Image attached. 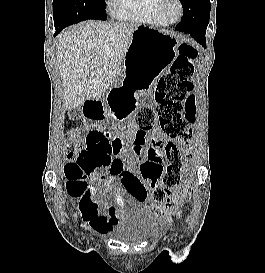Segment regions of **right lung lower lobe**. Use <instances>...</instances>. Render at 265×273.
Returning a JSON list of instances; mask_svg holds the SVG:
<instances>
[{
  "label": "right lung lower lobe",
  "mask_w": 265,
  "mask_h": 273,
  "mask_svg": "<svg viewBox=\"0 0 265 273\" xmlns=\"http://www.w3.org/2000/svg\"><path fill=\"white\" fill-rule=\"evenodd\" d=\"M61 30H62V29L57 28V29H56L55 35L58 34Z\"/></svg>",
  "instance_id": "obj_1"
}]
</instances>
